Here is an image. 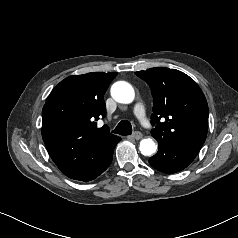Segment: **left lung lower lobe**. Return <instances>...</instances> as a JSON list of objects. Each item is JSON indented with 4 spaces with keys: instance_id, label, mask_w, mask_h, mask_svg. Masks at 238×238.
<instances>
[{
    "instance_id": "left-lung-lower-lobe-1",
    "label": "left lung lower lobe",
    "mask_w": 238,
    "mask_h": 238,
    "mask_svg": "<svg viewBox=\"0 0 238 238\" xmlns=\"http://www.w3.org/2000/svg\"><path fill=\"white\" fill-rule=\"evenodd\" d=\"M157 154L149 159V164L158 171L172 174L186 168L197 156L199 150L180 146L172 142H158Z\"/></svg>"
}]
</instances>
